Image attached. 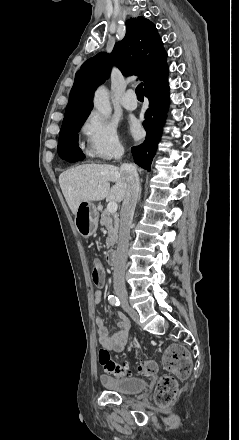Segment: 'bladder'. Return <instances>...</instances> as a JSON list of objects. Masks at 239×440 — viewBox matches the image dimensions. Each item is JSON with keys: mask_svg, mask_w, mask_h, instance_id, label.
<instances>
[{"mask_svg": "<svg viewBox=\"0 0 239 440\" xmlns=\"http://www.w3.org/2000/svg\"><path fill=\"white\" fill-rule=\"evenodd\" d=\"M101 384L109 391L119 394H136L146 388V381L138 377H113L106 374L100 376Z\"/></svg>", "mask_w": 239, "mask_h": 440, "instance_id": "31cf9c89", "label": "bladder"}]
</instances>
